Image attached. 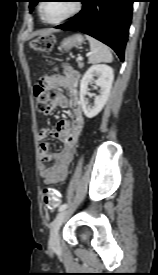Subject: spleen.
<instances>
[{
	"label": "spleen",
	"mask_w": 158,
	"mask_h": 275,
	"mask_svg": "<svg viewBox=\"0 0 158 275\" xmlns=\"http://www.w3.org/2000/svg\"><path fill=\"white\" fill-rule=\"evenodd\" d=\"M90 43L91 54L89 56V63L96 64L100 62H112L113 56L110 49L100 41L86 35Z\"/></svg>",
	"instance_id": "1"
}]
</instances>
